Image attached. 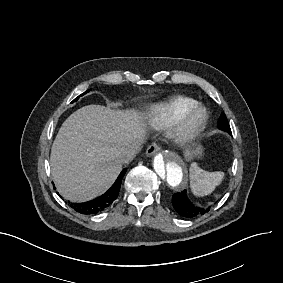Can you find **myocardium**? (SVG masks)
<instances>
[{
  "instance_id": "1",
  "label": "myocardium",
  "mask_w": 283,
  "mask_h": 283,
  "mask_svg": "<svg viewBox=\"0 0 283 283\" xmlns=\"http://www.w3.org/2000/svg\"><path fill=\"white\" fill-rule=\"evenodd\" d=\"M208 119V111L201 104L182 106L176 102L165 106L162 130L171 144L183 148L196 141Z\"/></svg>"
}]
</instances>
